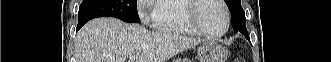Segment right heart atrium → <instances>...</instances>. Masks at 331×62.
Wrapping results in <instances>:
<instances>
[{"mask_svg":"<svg viewBox=\"0 0 331 62\" xmlns=\"http://www.w3.org/2000/svg\"><path fill=\"white\" fill-rule=\"evenodd\" d=\"M161 0H139L138 1V12L142 22L150 24L153 21V13L156 6Z\"/></svg>","mask_w":331,"mask_h":62,"instance_id":"obj_1","label":"right heart atrium"}]
</instances>
